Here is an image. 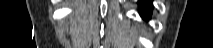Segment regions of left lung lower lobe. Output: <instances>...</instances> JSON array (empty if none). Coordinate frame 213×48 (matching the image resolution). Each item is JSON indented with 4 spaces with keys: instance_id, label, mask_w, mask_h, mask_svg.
I'll use <instances>...</instances> for the list:
<instances>
[{
    "instance_id": "0a47b994",
    "label": "left lung lower lobe",
    "mask_w": 213,
    "mask_h": 48,
    "mask_svg": "<svg viewBox=\"0 0 213 48\" xmlns=\"http://www.w3.org/2000/svg\"><path fill=\"white\" fill-rule=\"evenodd\" d=\"M149 0H140L139 1V6H140V14L144 18H148L149 15L151 14V4L149 3Z\"/></svg>"
}]
</instances>
